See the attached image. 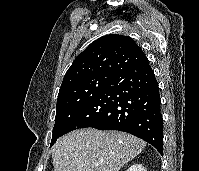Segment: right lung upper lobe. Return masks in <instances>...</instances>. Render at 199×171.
Returning a JSON list of instances; mask_svg holds the SVG:
<instances>
[{
	"instance_id": "cb5924a9",
	"label": "right lung upper lobe",
	"mask_w": 199,
	"mask_h": 171,
	"mask_svg": "<svg viewBox=\"0 0 199 171\" xmlns=\"http://www.w3.org/2000/svg\"><path fill=\"white\" fill-rule=\"evenodd\" d=\"M146 59L132 38L116 34L103 36L75 58L64 76L58 96L94 76H116L122 70Z\"/></svg>"
}]
</instances>
